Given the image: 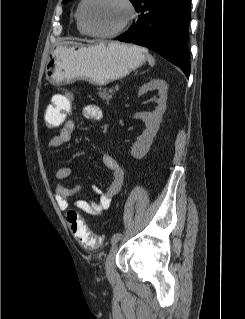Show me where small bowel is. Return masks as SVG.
Returning <instances> with one entry per match:
<instances>
[{"instance_id":"small-bowel-1","label":"small bowel","mask_w":245,"mask_h":319,"mask_svg":"<svg viewBox=\"0 0 245 319\" xmlns=\"http://www.w3.org/2000/svg\"><path fill=\"white\" fill-rule=\"evenodd\" d=\"M57 95L52 99V103ZM50 105V106H51ZM82 116L90 121L99 122L102 119V110L97 105H87L82 110ZM75 128V121L71 118L65 120L60 131L55 134L50 140L52 148H59L67 144L72 137ZM104 166L112 173V179L106 188L102 189L99 186H94L93 191L99 194L98 201H93L89 198L79 199L75 201V207L79 210L91 215H103L110 207L112 198L119 193L124 179V171L117 160L109 153L102 155ZM71 175V169L67 166H61L56 170L55 177L60 180H66ZM84 190L81 184L67 186L60 183L55 189V199L61 211H65L69 207V200L80 195Z\"/></svg>"}]
</instances>
